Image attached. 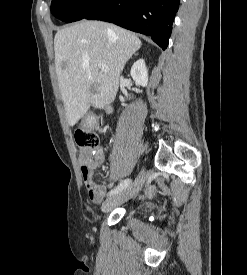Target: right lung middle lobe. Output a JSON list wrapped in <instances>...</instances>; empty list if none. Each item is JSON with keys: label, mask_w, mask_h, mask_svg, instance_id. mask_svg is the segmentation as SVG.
I'll return each instance as SVG.
<instances>
[{"label": "right lung middle lobe", "mask_w": 247, "mask_h": 275, "mask_svg": "<svg viewBox=\"0 0 247 275\" xmlns=\"http://www.w3.org/2000/svg\"><path fill=\"white\" fill-rule=\"evenodd\" d=\"M104 0H52L51 12L66 23L83 19Z\"/></svg>", "instance_id": "dd1d6c3e"}]
</instances>
